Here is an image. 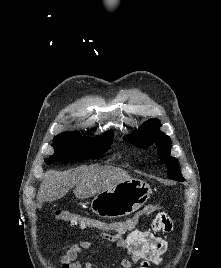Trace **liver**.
Instances as JSON below:
<instances>
[{"mask_svg":"<svg viewBox=\"0 0 221 268\" xmlns=\"http://www.w3.org/2000/svg\"><path fill=\"white\" fill-rule=\"evenodd\" d=\"M130 179L126 171L111 166H83L64 172L51 170L46 173L38 190V207L63 198L73 187L78 199H86Z\"/></svg>","mask_w":221,"mask_h":268,"instance_id":"obj_1","label":"liver"}]
</instances>
